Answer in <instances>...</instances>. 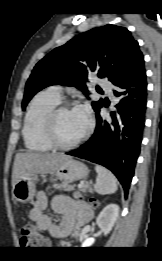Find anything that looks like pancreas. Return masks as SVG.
I'll list each match as a JSON object with an SVG mask.
<instances>
[{"instance_id":"1","label":"pancreas","mask_w":162,"mask_h":261,"mask_svg":"<svg viewBox=\"0 0 162 261\" xmlns=\"http://www.w3.org/2000/svg\"><path fill=\"white\" fill-rule=\"evenodd\" d=\"M53 188L55 190L72 191L75 190V185H70L67 182H62L61 184H54ZM79 191L83 193L92 192V188L88 182H84L83 186L79 188Z\"/></svg>"}]
</instances>
